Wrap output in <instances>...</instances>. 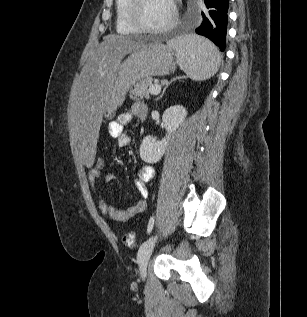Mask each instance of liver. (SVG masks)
<instances>
[{
    "label": "liver",
    "instance_id": "1",
    "mask_svg": "<svg viewBox=\"0 0 307 317\" xmlns=\"http://www.w3.org/2000/svg\"><path fill=\"white\" fill-rule=\"evenodd\" d=\"M142 41L107 35L90 55L74 84L68 110L71 144L78 148L82 167H95L98 132L118 65L125 55L144 46ZM93 141V142H89Z\"/></svg>",
    "mask_w": 307,
    "mask_h": 317
}]
</instances>
